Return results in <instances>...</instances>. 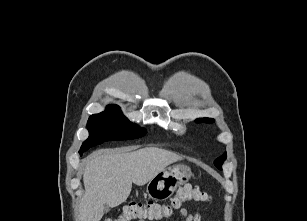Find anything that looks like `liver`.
Returning a JSON list of instances; mask_svg holds the SVG:
<instances>
[{"instance_id":"liver-1","label":"liver","mask_w":307,"mask_h":221,"mask_svg":"<svg viewBox=\"0 0 307 221\" xmlns=\"http://www.w3.org/2000/svg\"><path fill=\"white\" fill-rule=\"evenodd\" d=\"M182 157L160 148L136 151L99 150L85 159V194L80 205L81 221H100L104 206L116 207L130 195L132 183L142 186Z\"/></svg>"}]
</instances>
